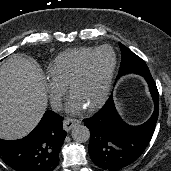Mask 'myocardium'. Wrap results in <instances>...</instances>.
<instances>
[{"mask_svg":"<svg viewBox=\"0 0 171 171\" xmlns=\"http://www.w3.org/2000/svg\"><path fill=\"white\" fill-rule=\"evenodd\" d=\"M102 50H109L112 53V55H113V64H112L110 72H109V74L107 76V79H106V82H105V86H104V89H103V92H102L101 96L93 104H91L90 106L87 107L89 110H95L96 108L101 106L106 101V99L109 96V93H110V90H111V86H112V83H113V79H114V76H115L116 68H117V63H118L117 54L114 51V49L112 47H110V46H107V45H103V46L97 47L82 62V64L79 66V68L77 69L75 74L72 76V78H71V80L69 82V85H68V90L71 93L73 87L75 86V84L82 78V76L86 72V70H87L90 62L94 58V56L97 53H99L100 51H102Z\"/></svg>","mask_w":171,"mask_h":171,"instance_id":"1","label":"myocardium"}]
</instances>
